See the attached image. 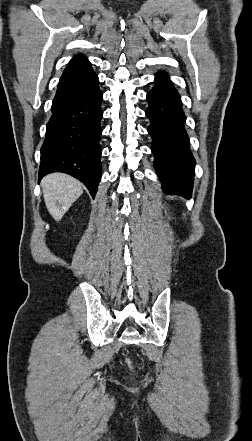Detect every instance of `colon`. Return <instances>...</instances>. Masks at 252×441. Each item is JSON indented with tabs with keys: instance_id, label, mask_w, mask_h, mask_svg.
Listing matches in <instances>:
<instances>
[{
	"instance_id": "5ec220e1",
	"label": "colon",
	"mask_w": 252,
	"mask_h": 441,
	"mask_svg": "<svg viewBox=\"0 0 252 441\" xmlns=\"http://www.w3.org/2000/svg\"><path fill=\"white\" fill-rule=\"evenodd\" d=\"M127 363H129V364L131 363L129 359H127Z\"/></svg>"
}]
</instances>
